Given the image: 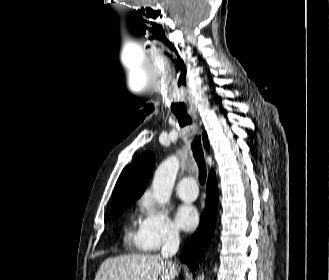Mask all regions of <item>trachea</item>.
<instances>
[{
	"label": "trachea",
	"mask_w": 329,
	"mask_h": 280,
	"mask_svg": "<svg viewBox=\"0 0 329 280\" xmlns=\"http://www.w3.org/2000/svg\"><path fill=\"white\" fill-rule=\"evenodd\" d=\"M175 116L177 117L181 127L192 124V119L187 113H176ZM191 148L193 151V156L199 167V182L201 185H204L206 182L207 172L201 140L199 137L196 136V138L193 140Z\"/></svg>",
	"instance_id": "obj_1"
}]
</instances>
